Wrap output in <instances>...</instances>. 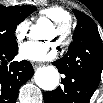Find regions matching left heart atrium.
Instances as JSON below:
<instances>
[{"mask_svg":"<svg viewBox=\"0 0 103 103\" xmlns=\"http://www.w3.org/2000/svg\"><path fill=\"white\" fill-rule=\"evenodd\" d=\"M57 54L54 42H34L29 41L22 44L19 48V55L22 59L40 62L54 58Z\"/></svg>","mask_w":103,"mask_h":103,"instance_id":"1","label":"left heart atrium"}]
</instances>
